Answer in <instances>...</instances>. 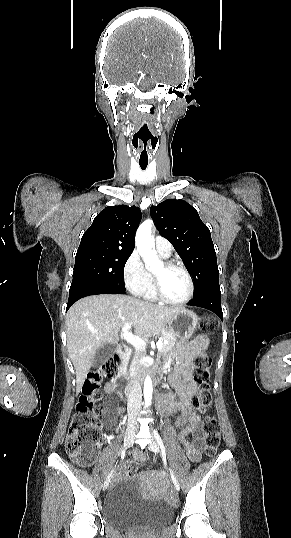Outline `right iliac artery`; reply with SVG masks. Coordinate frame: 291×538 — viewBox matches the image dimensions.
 Listing matches in <instances>:
<instances>
[{"instance_id":"82829eb1","label":"right iliac artery","mask_w":291,"mask_h":538,"mask_svg":"<svg viewBox=\"0 0 291 538\" xmlns=\"http://www.w3.org/2000/svg\"><path fill=\"white\" fill-rule=\"evenodd\" d=\"M124 454H125V451H122V452H121V456H123Z\"/></svg>"}]
</instances>
